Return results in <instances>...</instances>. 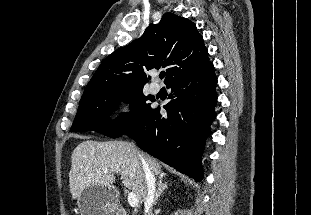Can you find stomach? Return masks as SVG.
Returning a JSON list of instances; mask_svg holds the SVG:
<instances>
[{"instance_id": "obj_1", "label": "stomach", "mask_w": 311, "mask_h": 215, "mask_svg": "<svg viewBox=\"0 0 311 215\" xmlns=\"http://www.w3.org/2000/svg\"><path fill=\"white\" fill-rule=\"evenodd\" d=\"M77 205L81 215H114L118 200L113 187L92 185L84 189Z\"/></svg>"}]
</instances>
